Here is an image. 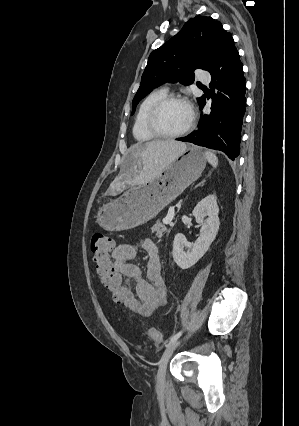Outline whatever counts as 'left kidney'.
<instances>
[{
    "label": "left kidney",
    "mask_w": 299,
    "mask_h": 426,
    "mask_svg": "<svg viewBox=\"0 0 299 426\" xmlns=\"http://www.w3.org/2000/svg\"><path fill=\"white\" fill-rule=\"evenodd\" d=\"M219 207L217 197L208 195L194 208L193 216L201 226L200 236L195 243L187 241L186 237L178 233L173 241V259L181 269H188L198 262L214 241L220 226ZM207 217V218H205ZM187 248V251H184Z\"/></svg>",
    "instance_id": "left-kidney-1"
}]
</instances>
